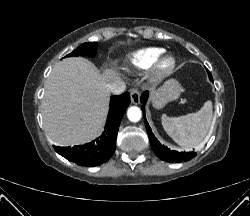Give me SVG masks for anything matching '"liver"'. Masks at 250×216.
<instances>
[{
    "mask_svg": "<svg viewBox=\"0 0 250 216\" xmlns=\"http://www.w3.org/2000/svg\"><path fill=\"white\" fill-rule=\"evenodd\" d=\"M121 81L112 69L100 73L88 60L70 57L58 62L45 84L42 101L44 129L60 146L94 139L109 110L107 85Z\"/></svg>",
    "mask_w": 250,
    "mask_h": 216,
    "instance_id": "liver-1",
    "label": "liver"
}]
</instances>
